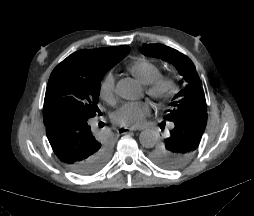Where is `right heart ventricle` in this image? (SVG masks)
I'll list each match as a JSON object with an SVG mask.
<instances>
[{"label": "right heart ventricle", "mask_w": 254, "mask_h": 216, "mask_svg": "<svg viewBox=\"0 0 254 216\" xmlns=\"http://www.w3.org/2000/svg\"><path fill=\"white\" fill-rule=\"evenodd\" d=\"M142 64H144V65H143V66H145L144 68H151V66H152L150 63H147V62L142 63ZM137 71H138V73H140V75H142V74H141V73H142V72H141V69H138Z\"/></svg>", "instance_id": "1"}]
</instances>
